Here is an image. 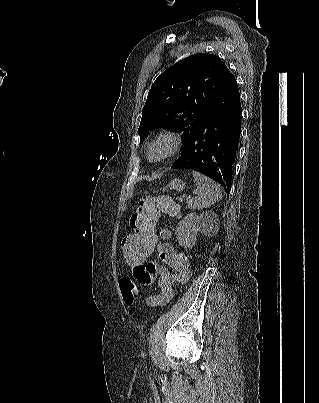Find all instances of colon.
<instances>
[{"instance_id":"1","label":"colon","mask_w":319,"mask_h":403,"mask_svg":"<svg viewBox=\"0 0 319 403\" xmlns=\"http://www.w3.org/2000/svg\"><path fill=\"white\" fill-rule=\"evenodd\" d=\"M177 207L175 202L167 195L156 197L146 196L138 208L131 215L129 224L136 231L124 239L121 245V254L126 269L141 262L143 265L151 264L153 247L157 246V230L159 221H156L161 213L175 214ZM134 276H122L119 288L124 293L123 298L126 305H135L140 297L138 282L133 280ZM131 315H136V310H131Z\"/></svg>"}]
</instances>
